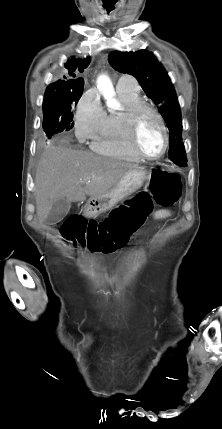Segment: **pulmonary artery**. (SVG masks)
<instances>
[{"label":"pulmonary artery","mask_w":222,"mask_h":429,"mask_svg":"<svg viewBox=\"0 0 222 429\" xmlns=\"http://www.w3.org/2000/svg\"><path fill=\"white\" fill-rule=\"evenodd\" d=\"M117 89L126 91H138L139 88L136 82L131 77L122 76L117 82Z\"/></svg>","instance_id":"pulmonary-artery-1"}]
</instances>
